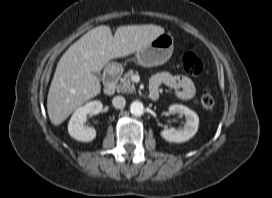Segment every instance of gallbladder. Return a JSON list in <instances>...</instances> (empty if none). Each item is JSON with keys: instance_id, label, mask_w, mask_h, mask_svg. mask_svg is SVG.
Segmentation results:
<instances>
[{"instance_id": "1", "label": "gallbladder", "mask_w": 272, "mask_h": 198, "mask_svg": "<svg viewBox=\"0 0 272 198\" xmlns=\"http://www.w3.org/2000/svg\"><path fill=\"white\" fill-rule=\"evenodd\" d=\"M94 75L98 78V79H101L102 78V75L100 72H96L94 73Z\"/></svg>"}]
</instances>
